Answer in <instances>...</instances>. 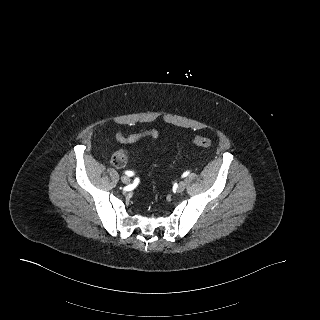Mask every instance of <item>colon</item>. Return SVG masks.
<instances>
[{"instance_id": "5ec220e1", "label": "colon", "mask_w": 320, "mask_h": 320, "mask_svg": "<svg viewBox=\"0 0 320 320\" xmlns=\"http://www.w3.org/2000/svg\"><path fill=\"white\" fill-rule=\"evenodd\" d=\"M192 143L198 147L209 149L212 147V141L204 136H196L192 139ZM128 159V151L124 148L117 150L113 157L112 162L116 167H122L126 164Z\"/></svg>"}]
</instances>
